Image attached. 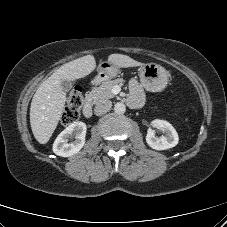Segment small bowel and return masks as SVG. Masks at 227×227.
Masks as SVG:
<instances>
[{"instance_id":"1","label":"small bowel","mask_w":227,"mask_h":227,"mask_svg":"<svg viewBox=\"0 0 227 227\" xmlns=\"http://www.w3.org/2000/svg\"><path fill=\"white\" fill-rule=\"evenodd\" d=\"M143 91L136 80H132L130 83V96L128 102L132 106H140L143 103Z\"/></svg>"}]
</instances>
